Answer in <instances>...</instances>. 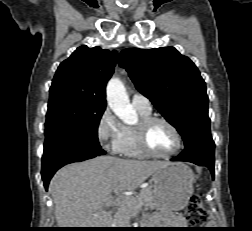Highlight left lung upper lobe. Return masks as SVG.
Masks as SVG:
<instances>
[{
    "label": "left lung upper lobe",
    "instance_id": "5c2ea615",
    "mask_svg": "<svg viewBox=\"0 0 252 231\" xmlns=\"http://www.w3.org/2000/svg\"><path fill=\"white\" fill-rule=\"evenodd\" d=\"M119 65L137 90L178 130L185 146L212 138L205 82L188 57L174 47L128 48L120 53Z\"/></svg>",
    "mask_w": 252,
    "mask_h": 231
}]
</instances>
